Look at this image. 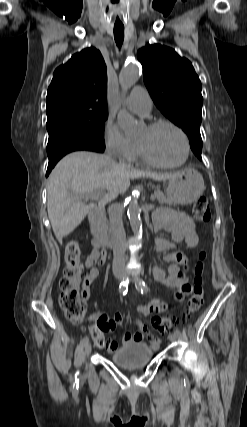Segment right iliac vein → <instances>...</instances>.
<instances>
[{
  "mask_svg": "<svg viewBox=\"0 0 247 427\" xmlns=\"http://www.w3.org/2000/svg\"><path fill=\"white\" fill-rule=\"evenodd\" d=\"M91 348H92L91 343L87 342L85 345V350H84V354H85L86 358L89 356V354L91 352Z\"/></svg>",
  "mask_w": 247,
  "mask_h": 427,
  "instance_id": "63e3f726",
  "label": "right iliac vein"
}]
</instances>
